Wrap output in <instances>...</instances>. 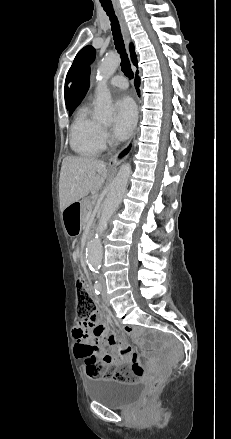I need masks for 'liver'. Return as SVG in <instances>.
I'll list each match as a JSON object with an SVG mask.
<instances>
[{"instance_id":"liver-1","label":"liver","mask_w":231,"mask_h":439,"mask_svg":"<svg viewBox=\"0 0 231 439\" xmlns=\"http://www.w3.org/2000/svg\"><path fill=\"white\" fill-rule=\"evenodd\" d=\"M107 175L108 170L103 161L87 157H65L59 179L61 211L89 193L98 191Z\"/></svg>"}]
</instances>
